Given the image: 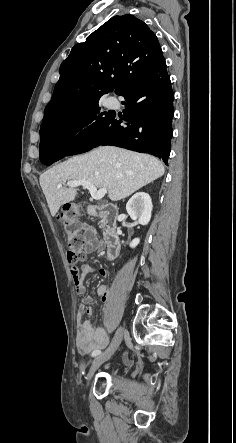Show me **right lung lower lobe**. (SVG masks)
Wrapping results in <instances>:
<instances>
[{
	"mask_svg": "<svg viewBox=\"0 0 236 443\" xmlns=\"http://www.w3.org/2000/svg\"><path fill=\"white\" fill-rule=\"evenodd\" d=\"M126 105L124 117L113 113L92 131L70 145L40 148V160L50 165L65 156L83 153L99 145H114L149 153L166 164L171 149L173 90L162 57L134 80L121 94ZM125 124V125H123Z\"/></svg>",
	"mask_w": 236,
	"mask_h": 443,
	"instance_id": "right-lung-lower-lobe-1",
	"label": "right lung lower lobe"
}]
</instances>
